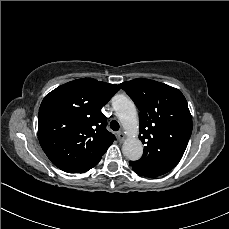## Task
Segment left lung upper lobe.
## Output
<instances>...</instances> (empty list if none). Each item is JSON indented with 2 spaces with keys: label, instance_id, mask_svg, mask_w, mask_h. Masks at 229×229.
I'll return each mask as SVG.
<instances>
[{
  "label": "left lung upper lobe",
  "instance_id": "left-lung-upper-lobe-1",
  "mask_svg": "<svg viewBox=\"0 0 229 229\" xmlns=\"http://www.w3.org/2000/svg\"><path fill=\"white\" fill-rule=\"evenodd\" d=\"M138 107L144 153L136 166L152 177L172 170L181 160L192 133V117L176 88L145 78L120 84Z\"/></svg>",
  "mask_w": 229,
  "mask_h": 229
}]
</instances>
